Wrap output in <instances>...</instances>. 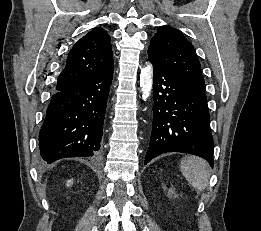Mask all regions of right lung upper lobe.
Returning <instances> with one entry per match:
<instances>
[{"mask_svg":"<svg viewBox=\"0 0 261 231\" xmlns=\"http://www.w3.org/2000/svg\"><path fill=\"white\" fill-rule=\"evenodd\" d=\"M113 62L110 36L102 28H94L70 50L56 90H65L92 79L112 68Z\"/></svg>","mask_w":261,"mask_h":231,"instance_id":"right-lung-upper-lobe-1","label":"right lung upper lobe"}]
</instances>
